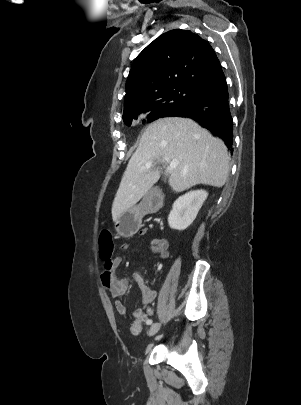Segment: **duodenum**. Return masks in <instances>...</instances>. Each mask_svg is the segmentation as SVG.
<instances>
[{
	"instance_id": "1",
	"label": "duodenum",
	"mask_w": 301,
	"mask_h": 405,
	"mask_svg": "<svg viewBox=\"0 0 301 405\" xmlns=\"http://www.w3.org/2000/svg\"><path fill=\"white\" fill-rule=\"evenodd\" d=\"M141 211L145 217L146 213H160L162 208H166L167 202L164 198L163 190H145Z\"/></svg>"
}]
</instances>
